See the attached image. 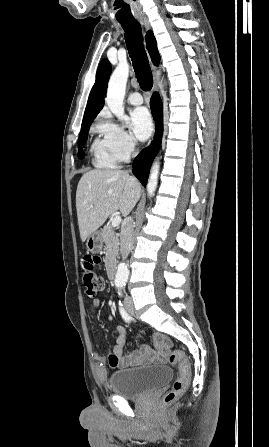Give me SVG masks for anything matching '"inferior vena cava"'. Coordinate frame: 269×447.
I'll return each instance as SVG.
<instances>
[{
  "instance_id": "1",
  "label": "inferior vena cava",
  "mask_w": 269,
  "mask_h": 447,
  "mask_svg": "<svg viewBox=\"0 0 269 447\" xmlns=\"http://www.w3.org/2000/svg\"><path fill=\"white\" fill-rule=\"evenodd\" d=\"M134 146H137L136 140H133ZM134 220L133 218H125L120 231V251L123 259H126L133 245Z\"/></svg>"
}]
</instances>
